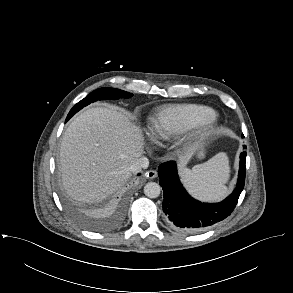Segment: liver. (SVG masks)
Listing matches in <instances>:
<instances>
[{"label":"liver","instance_id":"6515ba94","mask_svg":"<svg viewBox=\"0 0 293 293\" xmlns=\"http://www.w3.org/2000/svg\"><path fill=\"white\" fill-rule=\"evenodd\" d=\"M142 131L123 113L106 107L88 109L66 129L60 147L62 182L82 202H99L131 177L130 166L143 153ZM180 156L183 167L195 152Z\"/></svg>","mask_w":293,"mask_h":293}]
</instances>
